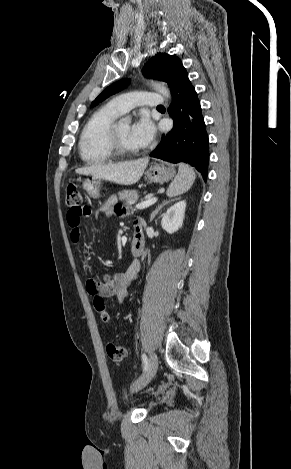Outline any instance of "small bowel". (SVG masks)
I'll return each mask as SVG.
<instances>
[{"label": "small bowel", "instance_id": "small-bowel-1", "mask_svg": "<svg viewBox=\"0 0 291 469\" xmlns=\"http://www.w3.org/2000/svg\"><path fill=\"white\" fill-rule=\"evenodd\" d=\"M119 211L120 208L115 205L114 198H110L96 213V215L101 214L105 217H109L113 213ZM83 217L86 216L80 215L78 211L73 209L69 210L67 213V222L70 227V238L74 243H78L81 239L80 225ZM137 225L141 226L136 222L135 226ZM140 268L141 264L139 261H132L125 271L115 273L112 276L107 277L104 281L88 278L86 280V289L88 293L94 297V300L97 294H105L107 297H115L118 301L122 302L128 296L129 287L137 277Z\"/></svg>", "mask_w": 291, "mask_h": 469}]
</instances>
